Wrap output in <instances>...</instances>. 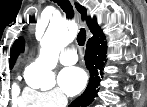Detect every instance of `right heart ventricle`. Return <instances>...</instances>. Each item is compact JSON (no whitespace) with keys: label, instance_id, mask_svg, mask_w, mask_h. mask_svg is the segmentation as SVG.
Instances as JSON below:
<instances>
[{"label":"right heart ventricle","instance_id":"right-heart-ventricle-1","mask_svg":"<svg viewBox=\"0 0 147 107\" xmlns=\"http://www.w3.org/2000/svg\"><path fill=\"white\" fill-rule=\"evenodd\" d=\"M30 90V89H29ZM29 90H25L20 92V89L17 85L12 88V97L13 102L18 107H35L37 104L34 98V95L29 92Z\"/></svg>","mask_w":147,"mask_h":107}]
</instances>
